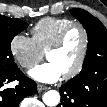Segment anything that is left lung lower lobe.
I'll use <instances>...</instances> for the list:
<instances>
[{
	"mask_svg": "<svg viewBox=\"0 0 107 107\" xmlns=\"http://www.w3.org/2000/svg\"><path fill=\"white\" fill-rule=\"evenodd\" d=\"M85 84H78L71 80L65 83L59 89L61 104L57 107H73L69 104L73 99H78V107H107V77L96 73L87 79ZM83 87L85 90L82 89Z\"/></svg>",
	"mask_w": 107,
	"mask_h": 107,
	"instance_id": "obj_1",
	"label": "left lung lower lobe"
}]
</instances>
